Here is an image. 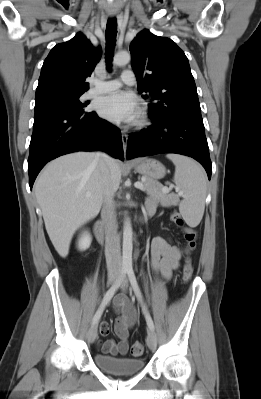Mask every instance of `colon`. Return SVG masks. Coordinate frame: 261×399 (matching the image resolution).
<instances>
[{"label": "colon", "mask_w": 261, "mask_h": 399, "mask_svg": "<svg viewBox=\"0 0 261 399\" xmlns=\"http://www.w3.org/2000/svg\"><path fill=\"white\" fill-rule=\"evenodd\" d=\"M171 219L175 221L176 223L182 225L183 221L180 218L178 213H171ZM185 240L187 241V244L190 249H194L196 247V233L192 230H187L185 233ZM193 274V267L190 259H187L185 261L184 267H183V280L185 282L189 281L192 277ZM144 352V345L142 342H134L131 346V354L133 356H140Z\"/></svg>", "instance_id": "5ec220e1"}]
</instances>
